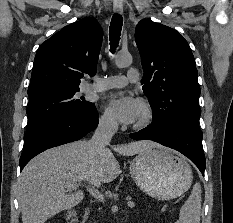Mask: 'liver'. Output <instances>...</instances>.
Returning <instances> with one entry per match:
<instances>
[{"mask_svg": "<svg viewBox=\"0 0 233 223\" xmlns=\"http://www.w3.org/2000/svg\"><path fill=\"white\" fill-rule=\"evenodd\" d=\"M155 141H130L111 145L118 155H136ZM91 151L90 141H73L52 147L33 157L25 165L18 181L17 193L23 223H45L63 209H72L85 197L83 189L72 191V183L86 181L92 187L114 181L122 169L111 149Z\"/></svg>", "mask_w": 233, "mask_h": 223, "instance_id": "6515ba94", "label": "liver"}]
</instances>
